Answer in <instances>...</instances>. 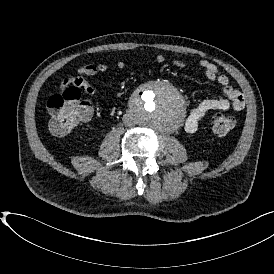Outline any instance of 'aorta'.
<instances>
[{"instance_id": "762f6f07", "label": "aorta", "mask_w": 274, "mask_h": 274, "mask_svg": "<svg viewBox=\"0 0 274 274\" xmlns=\"http://www.w3.org/2000/svg\"><path fill=\"white\" fill-rule=\"evenodd\" d=\"M130 108L138 125L160 132H172L185 116V103L180 92L159 80L139 89L130 100Z\"/></svg>"}]
</instances>
